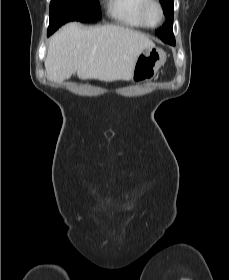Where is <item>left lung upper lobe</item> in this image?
Masks as SVG:
<instances>
[{
    "instance_id": "1",
    "label": "left lung upper lobe",
    "mask_w": 229,
    "mask_h": 280,
    "mask_svg": "<svg viewBox=\"0 0 229 280\" xmlns=\"http://www.w3.org/2000/svg\"><path fill=\"white\" fill-rule=\"evenodd\" d=\"M164 15L166 16V22L161 28L155 31L156 35L161 38L165 43H171L175 40L172 26H173V0H160Z\"/></svg>"
}]
</instances>
